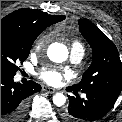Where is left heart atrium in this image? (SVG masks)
I'll return each instance as SVG.
<instances>
[{
    "label": "left heart atrium",
    "mask_w": 122,
    "mask_h": 122,
    "mask_svg": "<svg viewBox=\"0 0 122 122\" xmlns=\"http://www.w3.org/2000/svg\"><path fill=\"white\" fill-rule=\"evenodd\" d=\"M40 77L47 84H49L51 86H58L61 84V82L64 78L68 77V75L61 73L60 71L53 69V68H44L40 72Z\"/></svg>",
    "instance_id": "1"
}]
</instances>
